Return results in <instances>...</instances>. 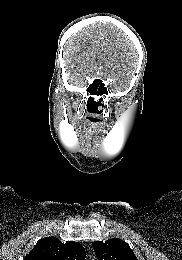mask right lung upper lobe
<instances>
[{
	"label": "right lung upper lobe",
	"instance_id": "obj_1",
	"mask_svg": "<svg viewBox=\"0 0 182 260\" xmlns=\"http://www.w3.org/2000/svg\"><path fill=\"white\" fill-rule=\"evenodd\" d=\"M85 249L77 242L62 243L55 237L40 239L24 260H84Z\"/></svg>",
	"mask_w": 182,
	"mask_h": 260
}]
</instances>
